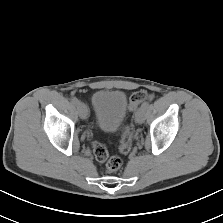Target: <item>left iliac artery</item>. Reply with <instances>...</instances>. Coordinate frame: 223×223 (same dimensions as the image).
I'll list each match as a JSON object with an SVG mask.
<instances>
[{"label": "left iliac artery", "instance_id": "1", "mask_svg": "<svg viewBox=\"0 0 223 223\" xmlns=\"http://www.w3.org/2000/svg\"><path fill=\"white\" fill-rule=\"evenodd\" d=\"M148 106H149V102H144L141 107L146 109Z\"/></svg>", "mask_w": 223, "mask_h": 223}]
</instances>
